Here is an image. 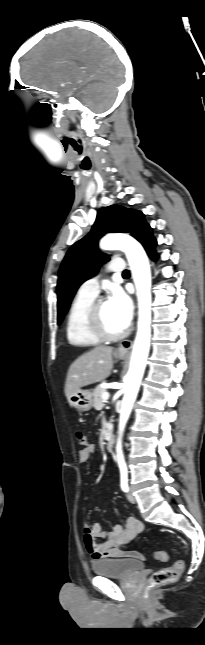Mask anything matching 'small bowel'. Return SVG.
Wrapping results in <instances>:
<instances>
[{
    "mask_svg": "<svg viewBox=\"0 0 205 645\" xmlns=\"http://www.w3.org/2000/svg\"><path fill=\"white\" fill-rule=\"evenodd\" d=\"M95 451L94 445L81 449L78 452L79 462L83 463L89 460ZM143 529L142 522L135 517H129L125 525L116 524L109 532L103 531L101 523L96 521L92 525L84 527V543L88 553L95 561L122 557L142 559L138 552H124L121 547L132 541Z\"/></svg>",
    "mask_w": 205,
    "mask_h": 645,
    "instance_id": "obj_1",
    "label": "small bowel"
}]
</instances>
